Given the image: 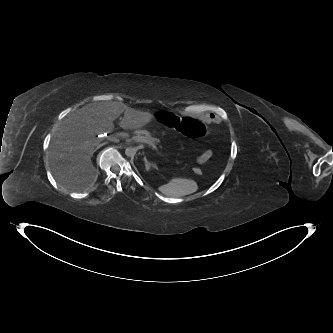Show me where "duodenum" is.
<instances>
[{"label":"duodenum","mask_w":333,"mask_h":333,"mask_svg":"<svg viewBox=\"0 0 333 333\" xmlns=\"http://www.w3.org/2000/svg\"><path fill=\"white\" fill-rule=\"evenodd\" d=\"M132 133H133L134 135H135V134H138V135L141 134V135H143V136H145V135H147V136L149 135V136H150V135L152 134L150 131H149V132H148V131L145 132V131H143L142 129H141V130H140V129H139V130L136 129V130H134ZM124 134H125L126 136H128V135L130 134V132L127 130Z\"/></svg>","instance_id":"1"}]
</instances>
